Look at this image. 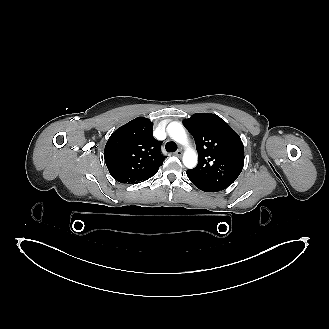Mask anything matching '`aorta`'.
<instances>
[{"instance_id":"1","label":"aorta","mask_w":329,"mask_h":329,"mask_svg":"<svg viewBox=\"0 0 329 329\" xmlns=\"http://www.w3.org/2000/svg\"><path fill=\"white\" fill-rule=\"evenodd\" d=\"M169 136L181 145L187 146L188 135L182 124L178 122H171L167 126ZM183 164L187 168H194L197 165V154L193 149H187L183 154Z\"/></svg>"}]
</instances>
